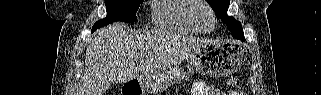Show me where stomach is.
Returning <instances> with one entry per match:
<instances>
[{
    "instance_id": "obj_1",
    "label": "stomach",
    "mask_w": 321,
    "mask_h": 95,
    "mask_svg": "<svg viewBox=\"0 0 321 95\" xmlns=\"http://www.w3.org/2000/svg\"><path fill=\"white\" fill-rule=\"evenodd\" d=\"M243 58V52L232 43L208 41L160 72L140 78L139 84L144 92H152L183 83L195 71L208 76L224 77L236 71L243 63Z\"/></svg>"
}]
</instances>
